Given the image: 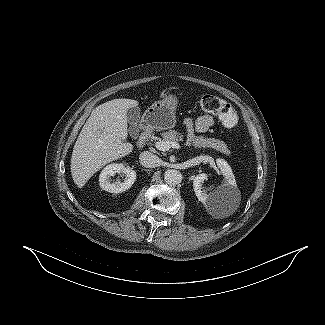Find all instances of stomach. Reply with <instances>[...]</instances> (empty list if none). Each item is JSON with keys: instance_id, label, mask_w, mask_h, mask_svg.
I'll list each match as a JSON object with an SVG mask.
<instances>
[{"instance_id": "0dacf381", "label": "stomach", "mask_w": 325, "mask_h": 325, "mask_svg": "<svg viewBox=\"0 0 325 325\" xmlns=\"http://www.w3.org/2000/svg\"><path fill=\"white\" fill-rule=\"evenodd\" d=\"M177 104L178 98L173 94H168L163 99L155 101L144 113L145 125L158 130L174 127Z\"/></svg>"}]
</instances>
